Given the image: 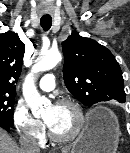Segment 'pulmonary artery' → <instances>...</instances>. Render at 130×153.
Returning <instances> with one entry per match:
<instances>
[{
  "label": "pulmonary artery",
  "mask_w": 130,
  "mask_h": 153,
  "mask_svg": "<svg viewBox=\"0 0 130 153\" xmlns=\"http://www.w3.org/2000/svg\"><path fill=\"white\" fill-rule=\"evenodd\" d=\"M39 87L43 91H51L55 87V77L53 74H46L44 75L40 82Z\"/></svg>",
  "instance_id": "1"
}]
</instances>
